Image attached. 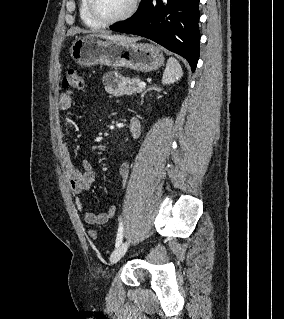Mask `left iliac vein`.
I'll list each match as a JSON object with an SVG mask.
<instances>
[{"label":"left iliac vein","instance_id":"left-iliac-vein-1","mask_svg":"<svg viewBox=\"0 0 284 319\" xmlns=\"http://www.w3.org/2000/svg\"><path fill=\"white\" fill-rule=\"evenodd\" d=\"M129 241H125L122 244H120L111 254L110 256V262L111 264H114L118 262L126 253L128 247H129Z\"/></svg>","mask_w":284,"mask_h":319}]
</instances>
